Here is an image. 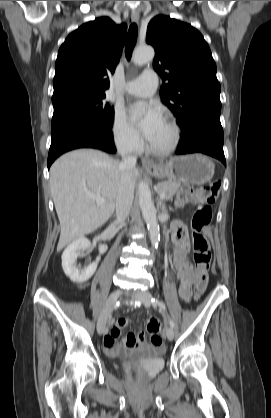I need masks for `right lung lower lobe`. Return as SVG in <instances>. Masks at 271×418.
<instances>
[{
    "instance_id": "98d812e1",
    "label": "right lung lower lobe",
    "mask_w": 271,
    "mask_h": 418,
    "mask_svg": "<svg viewBox=\"0 0 271 418\" xmlns=\"http://www.w3.org/2000/svg\"><path fill=\"white\" fill-rule=\"evenodd\" d=\"M111 127L112 125L102 121H86L51 131L48 169L61 154L77 148H96L115 153Z\"/></svg>"
}]
</instances>
